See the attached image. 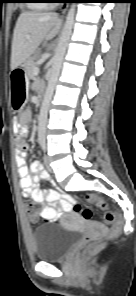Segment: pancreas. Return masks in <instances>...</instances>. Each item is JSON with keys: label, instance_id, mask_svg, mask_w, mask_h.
Segmentation results:
<instances>
[{"label": "pancreas", "instance_id": "pancreas-1", "mask_svg": "<svg viewBox=\"0 0 136 296\" xmlns=\"http://www.w3.org/2000/svg\"><path fill=\"white\" fill-rule=\"evenodd\" d=\"M40 56V51H37L35 53V55L31 58H29L25 64H24V67H25V70H26V74L29 76V77H33L34 76V68L36 67V60L39 58Z\"/></svg>", "mask_w": 136, "mask_h": 296}]
</instances>
